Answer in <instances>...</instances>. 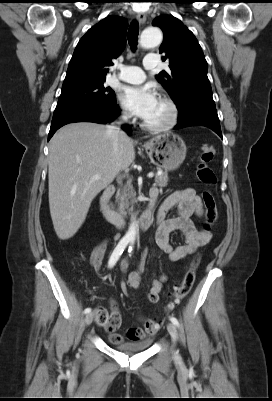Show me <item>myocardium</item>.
Instances as JSON below:
<instances>
[{"instance_id":"obj_1","label":"myocardium","mask_w":272,"mask_h":401,"mask_svg":"<svg viewBox=\"0 0 272 401\" xmlns=\"http://www.w3.org/2000/svg\"><path fill=\"white\" fill-rule=\"evenodd\" d=\"M159 100L164 102L169 108V117L164 123L150 124L146 121H142L141 125L144 129L152 132H164L173 129L179 121V108L176 102L169 96L162 95Z\"/></svg>"}]
</instances>
